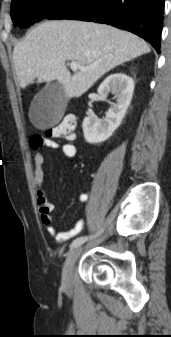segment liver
Returning a JSON list of instances; mask_svg holds the SVG:
<instances>
[{
    "label": "liver",
    "mask_w": 171,
    "mask_h": 337,
    "mask_svg": "<svg viewBox=\"0 0 171 337\" xmlns=\"http://www.w3.org/2000/svg\"><path fill=\"white\" fill-rule=\"evenodd\" d=\"M137 35L109 25L73 20L45 21L35 27L13 50V62L21 88L57 80L67 98L80 97L114 67L149 53ZM67 60L85 70L71 74Z\"/></svg>",
    "instance_id": "liver-1"
}]
</instances>
